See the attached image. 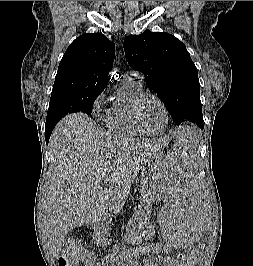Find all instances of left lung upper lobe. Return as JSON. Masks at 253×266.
Masks as SVG:
<instances>
[{"mask_svg":"<svg viewBox=\"0 0 253 266\" xmlns=\"http://www.w3.org/2000/svg\"><path fill=\"white\" fill-rule=\"evenodd\" d=\"M124 50L128 64L143 73L175 124H203L197 68L181 41L168 33L145 30L126 37Z\"/></svg>","mask_w":253,"mask_h":266,"instance_id":"obj_1","label":"left lung upper lobe"}]
</instances>
